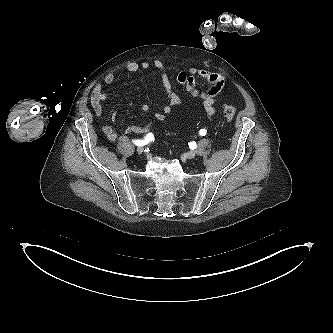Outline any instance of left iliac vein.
Instances as JSON below:
<instances>
[{"label": "left iliac vein", "mask_w": 333, "mask_h": 333, "mask_svg": "<svg viewBox=\"0 0 333 333\" xmlns=\"http://www.w3.org/2000/svg\"><path fill=\"white\" fill-rule=\"evenodd\" d=\"M195 156H196L195 151H189V152L184 154V157L187 158V159H193Z\"/></svg>", "instance_id": "4c4485c4"}]
</instances>
